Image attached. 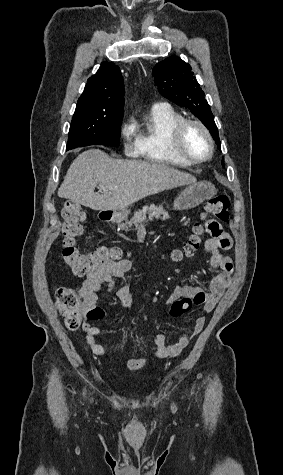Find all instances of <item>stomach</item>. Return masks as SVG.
I'll return each mask as SVG.
<instances>
[{"label": "stomach", "instance_id": "stomach-1", "mask_svg": "<svg viewBox=\"0 0 283 475\" xmlns=\"http://www.w3.org/2000/svg\"><path fill=\"white\" fill-rule=\"evenodd\" d=\"M216 188H214L211 182H196L191 184L188 188H185L178 198L174 200L173 210H191L196 208L205 200H210L213 196H216ZM130 210L123 208V210H116L113 214V222L120 224L123 220H127Z\"/></svg>", "mask_w": 283, "mask_h": 475}]
</instances>
